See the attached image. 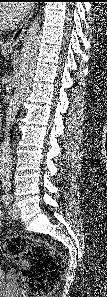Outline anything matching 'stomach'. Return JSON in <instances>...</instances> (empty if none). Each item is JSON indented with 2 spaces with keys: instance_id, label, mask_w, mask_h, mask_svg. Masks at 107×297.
Returning a JSON list of instances; mask_svg holds the SVG:
<instances>
[{
  "instance_id": "stomach-1",
  "label": "stomach",
  "mask_w": 107,
  "mask_h": 297,
  "mask_svg": "<svg viewBox=\"0 0 107 297\" xmlns=\"http://www.w3.org/2000/svg\"><path fill=\"white\" fill-rule=\"evenodd\" d=\"M13 51V48H9L6 50L7 53H11Z\"/></svg>"
}]
</instances>
